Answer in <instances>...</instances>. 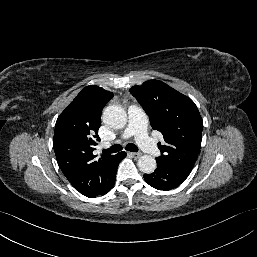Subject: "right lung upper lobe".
I'll use <instances>...</instances> for the list:
<instances>
[{
  "mask_svg": "<svg viewBox=\"0 0 257 257\" xmlns=\"http://www.w3.org/2000/svg\"><path fill=\"white\" fill-rule=\"evenodd\" d=\"M113 93L98 86L80 91L56 121L53 147L63 174L80 193L96 195L107 179L115 155H93L101 113Z\"/></svg>",
  "mask_w": 257,
  "mask_h": 257,
  "instance_id": "obj_1",
  "label": "right lung upper lobe"
}]
</instances>
